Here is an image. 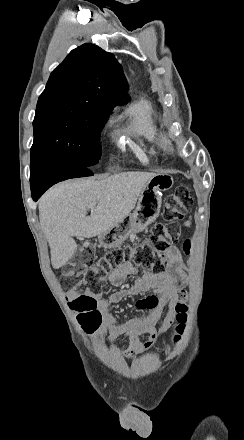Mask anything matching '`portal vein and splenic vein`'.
Instances as JSON below:
<instances>
[{"label":"portal vein and splenic vein","mask_w":244,"mask_h":440,"mask_svg":"<svg viewBox=\"0 0 244 440\" xmlns=\"http://www.w3.org/2000/svg\"><path fill=\"white\" fill-rule=\"evenodd\" d=\"M91 210H93V206H90Z\"/></svg>","instance_id":"portal-vein-and-splenic-vein-1"}]
</instances>
